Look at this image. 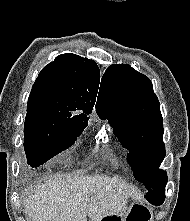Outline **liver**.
Segmentation results:
<instances>
[{
  "label": "liver",
  "instance_id": "1",
  "mask_svg": "<svg viewBox=\"0 0 190 221\" xmlns=\"http://www.w3.org/2000/svg\"><path fill=\"white\" fill-rule=\"evenodd\" d=\"M136 190L117 178L95 176H48L24 200L31 221H99L106 213L124 215L127 199Z\"/></svg>",
  "mask_w": 190,
  "mask_h": 221
}]
</instances>
